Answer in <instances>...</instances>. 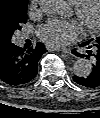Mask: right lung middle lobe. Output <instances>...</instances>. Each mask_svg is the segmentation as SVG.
Segmentation results:
<instances>
[{
    "mask_svg": "<svg viewBox=\"0 0 100 118\" xmlns=\"http://www.w3.org/2000/svg\"><path fill=\"white\" fill-rule=\"evenodd\" d=\"M28 0H0V45L11 42L13 33L26 23Z\"/></svg>",
    "mask_w": 100,
    "mask_h": 118,
    "instance_id": "1",
    "label": "right lung middle lobe"
}]
</instances>
